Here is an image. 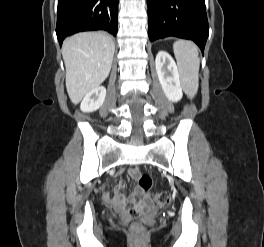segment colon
Returning a JSON list of instances; mask_svg holds the SVG:
<instances>
[{
  "label": "colon",
  "mask_w": 264,
  "mask_h": 247,
  "mask_svg": "<svg viewBox=\"0 0 264 247\" xmlns=\"http://www.w3.org/2000/svg\"><path fill=\"white\" fill-rule=\"evenodd\" d=\"M138 185H139L140 189H142L144 191H149L152 187L151 177L147 174H140L138 176ZM169 200H170V194L168 192L162 191V192H159L155 195V202L159 205H165L169 202ZM128 210H129V214L132 217H137L140 213L138 207L134 204L128 205ZM141 228H142V226L138 222H134L132 224V229L135 232H139L141 230Z\"/></svg>",
  "instance_id": "colon-1"
}]
</instances>
